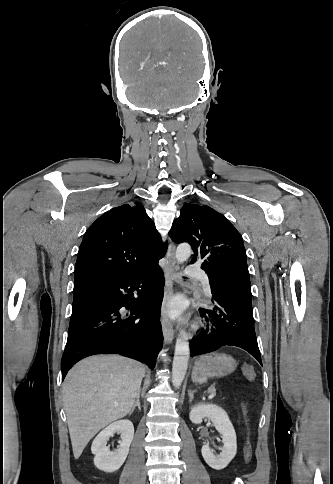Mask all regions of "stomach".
<instances>
[{"mask_svg": "<svg viewBox=\"0 0 333 484\" xmlns=\"http://www.w3.org/2000/svg\"><path fill=\"white\" fill-rule=\"evenodd\" d=\"M237 364L234 358L225 353H209L197 357L194 361L192 381L206 383L209 378L222 377L232 373Z\"/></svg>", "mask_w": 333, "mask_h": 484, "instance_id": "stomach-1", "label": "stomach"}]
</instances>
